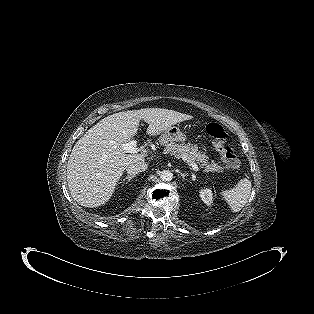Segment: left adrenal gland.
I'll return each mask as SVG.
<instances>
[{
    "label": "left adrenal gland",
    "mask_w": 314,
    "mask_h": 314,
    "mask_svg": "<svg viewBox=\"0 0 314 314\" xmlns=\"http://www.w3.org/2000/svg\"><path fill=\"white\" fill-rule=\"evenodd\" d=\"M180 175H181V177H182L183 180H185V177L188 176L187 173H182V172H180Z\"/></svg>",
    "instance_id": "a2214340"
}]
</instances>
